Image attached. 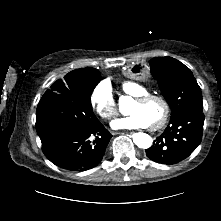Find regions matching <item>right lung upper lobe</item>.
<instances>
[{
  "label": "right lung upper lobe",
  "mask_w": 221,
  "mask_h": 221,
  "mask_svg": "<svg viewBox=\"0 0 221 221\" xmlns=\"http://www.w3.org/2000/svg\"><path fill=\"white\" fill-rule=\"evenodd\" d=\"M97 70L91 67H87L85 69H77L74 71L69 72L66 76H65V81H69L71 79H75L78 77H82L85 75H90L93 74L94 72H96ZM98 72V71H97Z\"/></svg>",
  "instance_id": "cb5924a9"
}]
</instances>
